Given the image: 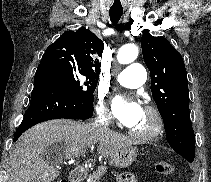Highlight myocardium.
Returning a JSON list of instances; mask_svg holds the SVG:
<instances>
[{
  "label": "myocardium",
  "instance_id": "myocardium-1",
  "mask_svg": "<svg viewBox=\"0 0 211 182\" xmlns=\"http://www.w3.org/2000/svg\"><path fill=\"white\" fill-rule=\"evenodd\" d=\"M144 110L154 117L155 124L152 130L148 133H139L129 129L128 133L136 141L147 143L155 140L162 133L164 129V119L161 112L152 105H146Z\"/></svg>",
  "mask_w": 211,
  "mask_h": 182
}]
</instances>
